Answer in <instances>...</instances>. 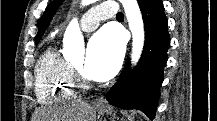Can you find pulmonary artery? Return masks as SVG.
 Listing matches in <instances>:
<instances>
[{"label":"pulmonary artery","mask_w":217,"mask_h":121,"mask_svg":"<svg viewBox=\"0 0 217 121\" xmlns=\"http://www.w3.org/2000/svg\"><path fill=\"white\" fill-rule=\"evenodd\" d=\"M117 9L118 6L114 2L109 1L94 6L81 17V29L87 32L96 29L102 20L115 17Z\"/></svg>","instance_id":"e3ab8cb5"}]
</instances>
